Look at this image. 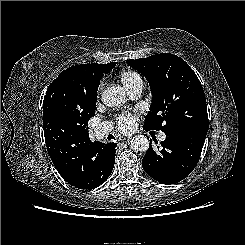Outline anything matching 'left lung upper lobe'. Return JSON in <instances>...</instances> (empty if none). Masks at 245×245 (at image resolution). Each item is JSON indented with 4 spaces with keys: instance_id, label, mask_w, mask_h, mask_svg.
Segmentation results:
<instances>
[{
    "instance_id": "1",
    "label": "left lung upper lobe",
    "mask_w": 245,
    "mask_h": 245,
    "mask_svg": "<svg viewBox=\"0 0 245 245\" xmlns=\"http://www.w3.org/2000/svg\"><path fill=\"white\" fill-rule=\"evenodd\" d=\"M149 82L153 95L144 127L175 135L189 130H208L206 98L189 65L170 54L126 60Z\"/></svg>"
}]
</instances>
